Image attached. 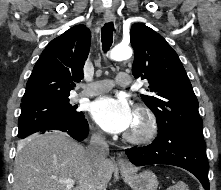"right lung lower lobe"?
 Instances as JSON below:
<instances>
[{
	"label": "right lung lower lobe",
	"mask_w": 221,
	"mask_h": 190,
	"mask_svg": "<svg viewBox=\"0 0 221 190\" xmlns=\"http://www.w3.org/2000/svg\"><path fill=\"white\" fill-rule=\"evenodd\" d=\"M54 131H62L69 134L72 138L82 141L86 138L89 131V126L87 123V120L84 118L80 123L69 126V127H53V128H47L42 131L36 132V133H43V132H54ZM34 134V133H33ZM32 135V134H30ZM30 135L21 137L19 139H24Z\"/></svg>",
	"instance_id": "right-lung-lower-lobe-1"
}]
</instances>
